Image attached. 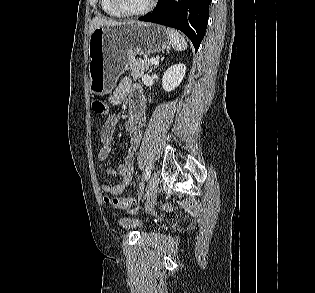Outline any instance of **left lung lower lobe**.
Wrapping results in <instances>:
<instances>
[{
  "label": "left lung lower lobe",
  "mask_w": 315,
  "mask_h": 293,
  "mask_svg": "<svg viewBox=\"0 0 315 293\" xmlns=\"http://www.w3.org/2000/svg\"><path fill=\"white\" fill-rule=\"evenodd\" d=\"M210 2L211 0H158L153 11L139 20L181 30L197 51L205 35Z\"/></svg>",
  "instance_id": "obj_1"
}]
</instances>
